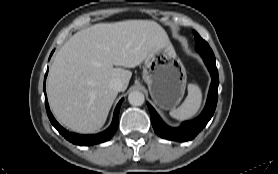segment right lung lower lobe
Instances as JSON below:
<instances>
[{
    "instance_id": "98d812e1",
    "label": "right lung lower lobe",
    "mask_w": 278,
    "mask_h": 174,
    "mask_svg": "<svg viewBox=\"0 0 278 174\" xmlns=\"http://www.w3.org/2000/svg\"><path fill=\"white\" fill-rule=\"evenodd\" d=\"M47 73L45 75L46 79ZM44 92H45V80H44ZM122 100L117 104L116 109L114 111V116L111 125L109 126L108 129L105 131L95 134V135H79L75 133H70L67 130H65L60 124L55 120L53 117L52 113L50 112L49 105L47 102V97L45 93V106H46V111L49 117L50 122L52 125L58 130L60 134H62L68 141L77 144V145H82V146H87V145H93L101 142H105L109 139L112 138L114 135L115 131L117 130L118 126V116H119V111H120V106L122 104Z\"/></svg>"
}]
</instances>
